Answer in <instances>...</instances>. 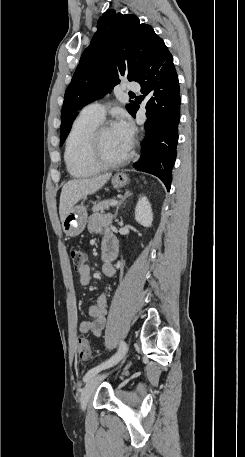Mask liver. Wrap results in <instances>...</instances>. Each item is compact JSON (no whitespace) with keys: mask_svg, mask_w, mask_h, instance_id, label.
I'll return each instance as SVG.
<instances>
[{"mask_svg":"<svg viewBox=\"0 0 245 457\" xmlns=\"http://www.w3.org/2000/svg\"><path fill=\"white\" fill-rule=\"evenodd\" d=\"M110 176L111 172H108V174H99V176H93V178L68 180L62 188L60 196L59 214L61 222H63L69 210L73 208L78 200H81L87 194H93V192L99 190L109 180Z\"/></svg>","mask_w":245,"mask_h":457,"instance_id":"obj_1","label":"liver"}]
</instances>
